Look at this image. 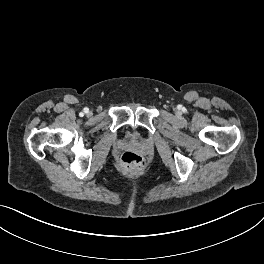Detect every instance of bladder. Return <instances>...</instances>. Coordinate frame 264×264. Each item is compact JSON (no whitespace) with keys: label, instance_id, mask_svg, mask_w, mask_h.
<instances>
[{"label":"bladder","instance_id":"1","mask_svg":"<svg viewBox=\"0 0 264 264\" xmlns=\"http://www.w3.org/2000/svg\"><path fill=\"white\" fill-rule=\"evenodd\" d=\"M127 137L131 140H137L138 139V135L133 131L128 132Z\"/></svg>","mask_w":264,"mask_h":264}]
</instances>
